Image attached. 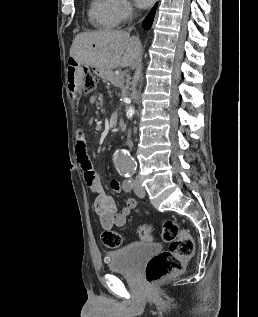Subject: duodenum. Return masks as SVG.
<instances>
[{
  "mask_svg": "<svg viewBox=\"0 0 258 317\" xmlns=\"http://www.w3.org/2000/svg\"><path fill=\"white\" fill-rule=\"evenodd\" d=\"M66 82L69 91L76 96L82 88V72L79 67L74 65L68 66L66 73Z\"/></svg>",
  "mask_w": 258,
  "mask_h": 317,
  "instance_id": "1",
  "label": "duodenum"
}]
</instances>
